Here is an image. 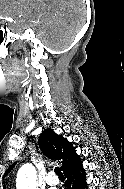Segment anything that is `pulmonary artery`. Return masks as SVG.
Instances as JSON below:
<instances>
[{"label":"pulmonary artery","instance_id":"pulmonary-artery-1","mask_svg":"<svg viewBox=\"0 0 124 189\" xmlns=\"http://www.w3.org/2000/svg\"><path fill=\"white\" fill-rule=\"evenodd\" d=\"M46 183L49 186H56L59 184V179L52 173H50L46 178Z\"/></svg>","mask_w":124,"mask_h":189}]
</instances>
